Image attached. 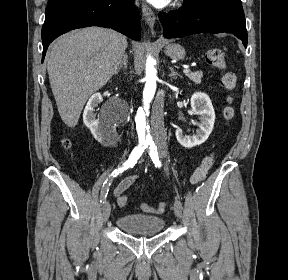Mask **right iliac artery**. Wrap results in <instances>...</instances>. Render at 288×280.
<instances>
[{
    "instance_id": "82829eb1",
    "label": "right iliac artery",
    "mask_w": 288,
    "mask_h": 280,
    "mask_svg": "<svg viewBox=\"0 0 288 280\" xmlns=\"http://www.w3.org/2000/svg\"><path fill=\"white\" fill-rule=\"evenodd\" d=\"M148 146V144L146 145L145 143H140L137 147L134 148V150L132 151L131 155L129 156L128 160L118 169H115L111 176V178L107 179L102 187L101 193H100V202L104 203L106 200V197L108 195V191H109V187L112 183V180L114 177H116L118 174L122 173L124 170H126V168H132L134 167V165L137 163V160L139 159V157L142 155L144 149Z\"/></svg>"
}]
</instances>
